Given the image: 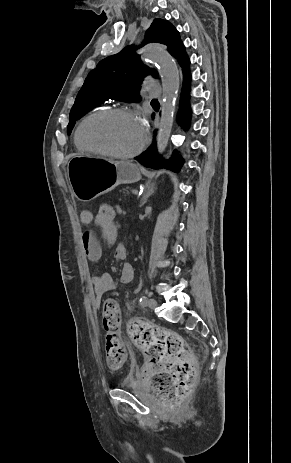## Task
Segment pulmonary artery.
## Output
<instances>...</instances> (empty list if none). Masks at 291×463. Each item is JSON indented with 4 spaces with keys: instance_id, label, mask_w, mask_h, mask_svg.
Instances as JSON below:
<instances>
[{
    "instance_id": "pulmonary-artery-1",
    "label": "pulmonary artery",
    "mask_w": 291,
    "mask_h": 463,
    "mask_svg": "<svg viewBox=\"0 0 291 463\" xmlns=\"http://www.w3.org/2000/svg\"><path fill=\"white\" fill-rule=\"evenodd\" d=\"M145 85L147 87L148 94L150 97H160L161 96V88L160 86L153 80V79H146Z\"/></svg>"
}]
</instances>
